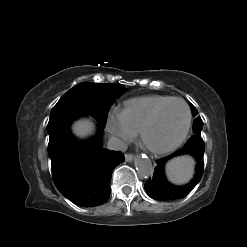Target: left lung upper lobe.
<instances>
[{"label":"left lung upper lobe","mask_w":247,"mask_h":247,"mask_svg":"<svg viewBox=\"0 0 247 247\" xmlns=\"http://www.w3.org/2000/svg\"><path fill=\"white\" fill-rule=\"evenodd\" d=\"M193 116H196V119L193 122V130L195 135L201 136V130L203 128V121L200 117H197L198 111L196 110L193 104H190Z\"/></svg>","instance_id":"obj_1"}]
</instances>
